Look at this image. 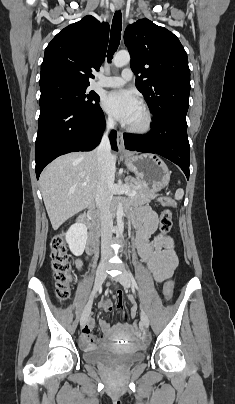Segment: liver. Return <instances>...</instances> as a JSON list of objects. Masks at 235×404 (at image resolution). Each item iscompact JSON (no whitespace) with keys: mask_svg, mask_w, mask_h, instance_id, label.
<instances>
[{"mask_svg":"<svg viewBox=\"0 0 235 404\" xmlns=\"http://www.w3.org/2000/svg\"><path fill=\"white\" fill-rule=\"evenodd\" d=\"M98 174L96 152L60 156L43 170L40 189L54 230L93 202Z\"/></svg>","mask_w":235,"mask_h":404,"instance_id":"1","label":"liver"}]
</instances>
